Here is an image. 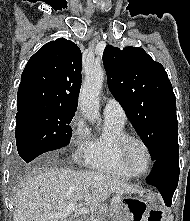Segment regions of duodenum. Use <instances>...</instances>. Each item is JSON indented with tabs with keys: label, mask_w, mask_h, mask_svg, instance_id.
I'll return each mask as SVG.
<instances>
[{
	"label": "duodenum",
	"mask_w": 190,
	"mask_h": 221,
	"mask_svg": "<svg viewBox=\"0 0 190 221\" xmlns=\"http://www.w3.org/2000/svg\"><path fill=\"white\" fill-rule=\"evenodd\" d=\"M76 221H85V220H83V219H79V220H76Z\"/></svg>",
	"instance_id": "410a0bca"
}]
</instances>
